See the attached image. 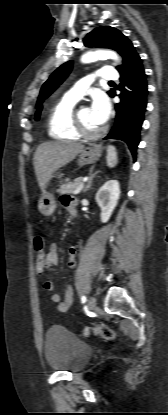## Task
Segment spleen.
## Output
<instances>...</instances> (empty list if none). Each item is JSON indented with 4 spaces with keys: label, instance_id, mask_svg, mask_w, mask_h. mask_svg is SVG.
Listing matches in <instances>:
<instances>
[{
    "label": "spleen",
    "instance_id": "3e777b00",
    "mask_svg": "<svg viewBox=\"0 0 168 415\" xmlns=\"http://www.w3.org/2000/svg\"><path fill=\"white\" fill-rule=\"evenodd\" d=\"M118 158H117V151L116 148L112 145L107 147V165L110 168H113L117 165Z\"/></svg>",
    "mask_w": 168,
    "mask_h": 415
}]
</instances>
